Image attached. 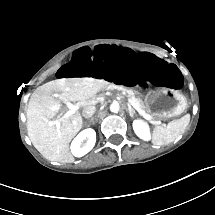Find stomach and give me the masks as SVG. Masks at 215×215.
Wrapping results in <instances>:
<instances>
[{
    "mask_svg": "<svg viewBox=\"0 0 215 215\" xmlns=\"http://www.w3.org/2000/svg\"><path fill=\"white\" fill-rule=\"evenodd\" d=\"M135 94L142 100L146 110L156 118L177 117L187 108V99L179 90L159 87L144 92L137 88Z\"/></svg>",
    "mask_w": 215,
    "mask_h": 215,
    "instance_id": "1",
    "label": "stomach"
}]
</instances>
